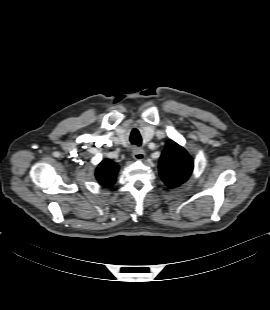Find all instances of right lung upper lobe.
I'll list each match as a JSON object with an SVG mask.
<instances>
[{
    "instance_id": "obj_1",
    "label": "right lung upper lobe",
    "mask_w": 270,
    "mask_h": 310,
    "mask_svg": "<svg viewBox=\"0 0 270 310\" xmlns=\"http://www.w3.org/2000/svg\"><path fill=\"white\" fill-rule=\"evenodd\" d=\"M119 166L111 160H103L96 169V178L104 187L114 184Z\"/></svg>"
}]
</instances>
